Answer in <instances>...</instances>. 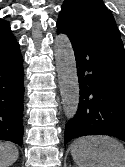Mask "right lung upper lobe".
Masks as SVG:
<instances>
[{
	"label": "right lung upper lobe",
	"mask_w": 125,
	"mask_h": 167,
	"mask_svg": "<svg viewBox=\"0 0 125 167\" xmlns=\"http://www.w3.org/2000/svg\"><path fill=\"white\" fill-rule=\"evenodd\" d=\"M9 28V23L3 19H0V29Z\"/></svg>",
	"instance_id": "right-lung-upper-lobe-1"
}]
</instances>
